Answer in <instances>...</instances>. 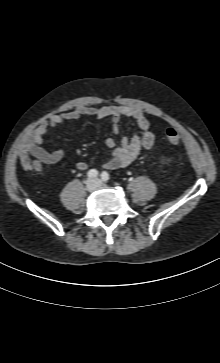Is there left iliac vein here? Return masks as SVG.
<instances>
[{
    "mask_svg": "<svg viewBox=\"0 0 220 363\" xmlns=\"http://www.w3.org/2000/svg\"><path fill=\"white\" fill-rule=\"evenodd\" d=\"M95 181L97 182V186H101L102 185L101 181H99L97 179Z\"/></svg>",
    "mask_w": 220,
    "mask_h": 363,
    "instance_id": "left-iliac-vein-1",
    "label": "left iliac vein"
}]
</instances>
